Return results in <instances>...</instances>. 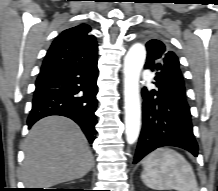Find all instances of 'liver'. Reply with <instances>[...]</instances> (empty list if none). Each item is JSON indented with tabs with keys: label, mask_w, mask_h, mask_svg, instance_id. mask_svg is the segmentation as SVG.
<instances>
[{
	"label": "liver",
	"mask_w": 218,
	"mask_h": 191,
	"mask_svg": "<svg viewBox=\"0 0 218 191\" xmlns=\"http://www.w3.org/2000/svg\"><path fill=\"white\" fill-rule=\"evenodd\" d=\"M23 182L46 188L85 176L93 166L87 139L72 120L50 116L31 128L24 144Z\"/></svg>",
	"instance_id": "1"
}]
</instances>
